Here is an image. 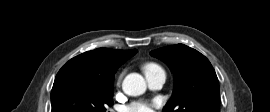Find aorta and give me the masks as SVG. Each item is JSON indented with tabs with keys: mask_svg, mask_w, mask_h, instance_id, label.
<instances>
[{
	"mask_svg": "<svg viewBox=\"0 0 270 112\" xmlns=\"http://www.w3.org/2000/svg\"><path fill=\"white\" fill-rule=\"evenodd\" d=\"M146 82L138 73L128 74L122 83L123 91L130 96H139L146 91Z\"/></svg>",
	"mask_w": 270,
	"mask_h": 112,
	"instance_id": "obj_1",
	"label": "aorta"
}]
</instances>
